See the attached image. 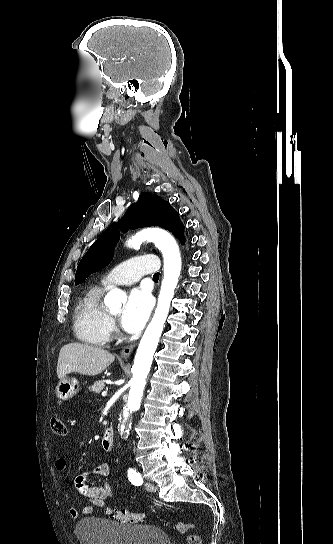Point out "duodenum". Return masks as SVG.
<instances>
[{
	"label": "duodenum",
	"instance_id": "duodenum-1",
	"mask_svg": "<svg viewBox=\"0 0 333 544\" xmlns=\"http://www.w3.org/2000/svg\"><path fill=\"white\" fill-rule=\"evenodd\" d=\"M114 432L111 428L107 429L102 437V447L106 451L112 450L114 446Z\"/></svg>",
	"mask_w": 333,
	"mask_h": 544
}]
</instances>
